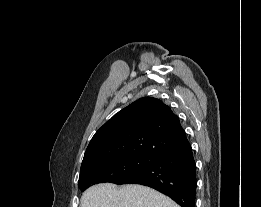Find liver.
Returning a JSON list of instances; mask_svg holds the SVG:
<instances>
[{
	"instance_id": "obj_1",
	"label": "liver",
	"mask_w": 261,
	"mask_h": 207,
	"mask_svg": "<svg viewBox=\"0 0 261 207\" xmlns=\"http://www.w3.org/2000/svg\"><path fill=\"white\" fill-rule=\"evenodd\" d=\"M80 207H180L160 192L142 185L128 184L118 188L101 183L88 188L81 197Z\"/></svg>"
}]
</instances>
